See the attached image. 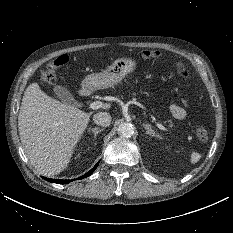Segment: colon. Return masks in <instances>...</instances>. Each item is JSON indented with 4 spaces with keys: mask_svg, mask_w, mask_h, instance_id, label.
Here are the masks:
<instances>
[{
    "mask_svg": "<svg viewBox=\"0 0 233 233\" xmlns=\"http://www.w3.org/2000/svg\"><path fill=\"white\" fill-rule=\"evenodd\" d=\"M160 55L161 53L157 50H143L141 52V57L143 59H153L159 57ZM68 62L69 57L67 55L58 56L42 70V78L47 82H52L54 79V69L66 65ZM180 75L186 79H189L191 77V72L189 68L182 67L180 68ZM196 135L201 141H206L209 137L208 131L204 127H199L196 131Z\"/></svg>",
    "mask_w": 233,
    "mask_h": 233,
    "instance_id": "5ec220e1",
    "label": "colon"
}]
</instances>
